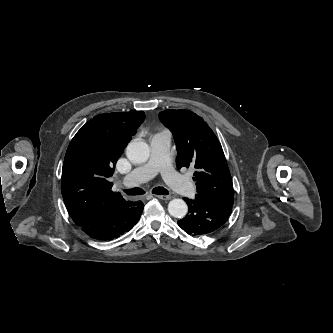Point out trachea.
Instances as JSON below:
<instances>
[{
    "label": "trachea",
    "instance_id": "trachea-1",
    "mask_svg": "<svg viewBox=\"0 0 333 333\" xmlns=\"http://www.w3.org/2000/svg\"><path fill=\"white\" fill-rule=\"evenodd\" d=\"M124 192L127 194V195H142L145 193V191L143 189H140V188H133V189H128V190H124ZM152 193L154 194H158V195H168L169 192L167 189H165L164 187H155L153 190H152Z\"/></svg>",
    "mask_w": 333,
    "mask_h": 333
}]
</instances>
